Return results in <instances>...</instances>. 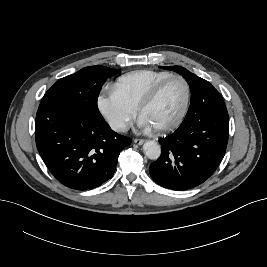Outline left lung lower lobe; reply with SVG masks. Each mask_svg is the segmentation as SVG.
Listing matches in <instances>:
<instances>
[{
  "mask_svg": "<svg viewBox=\"0 0 267 267\" xmlns=\"http://www.w3.org/2000/svg\"><path fill=\"white\" fill-rule=\"evenodd\" d=\"M228 133V113L215 112L206 101L195 104L173 134L159 139L161 156L150 165L152 179L176 191L200 185L223 159Z\"/></svg>",
  "mask_w": 267,
  "mask_h": 267,
  "instance_id": "1",
  "label": "left lung lower lobe"
}]
</instances>
